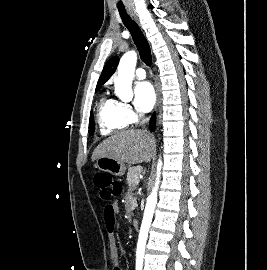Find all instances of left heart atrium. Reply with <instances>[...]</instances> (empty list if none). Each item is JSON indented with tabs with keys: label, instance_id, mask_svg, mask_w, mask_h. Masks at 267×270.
<instances>
[{
	"label": "left heart atrium",
	"instance_id": "1",
	"mask_svg": "<svg viewBox=\"0 0 267 270\" xmlns=\"http://www.w3.org/2000/svg\"><path fill=\"white\" fill-rule=\"evenodd\" d=\"M155 103V92L152 85L147 82H139L134 88V105L140 112H148Z\"/></svg>",
	"mask_w": 267,
	"mask_h": 270
}]
</instances>
